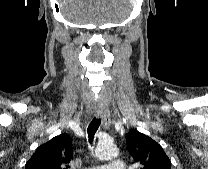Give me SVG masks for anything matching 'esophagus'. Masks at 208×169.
<instances>
[{
  "mask_svg": "<svg viewBox=\"0 0 208 169\" xmlns=\"http://www.w3.org/2000/svg\"><path fill=\"white\" fill-rule=\"evenodd\" d=\"M96 117L102 120L103 127L107 128L110 126V111L105 107H98L96 109Z\"/></svg>",
  "mask_w": 208,
  "mask_h": 169,
  "instance_id": "esophagus-1",
  "label": "esophagus"
}]
</instances>
